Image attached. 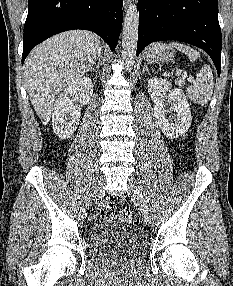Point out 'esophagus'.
Returning a JSON list of instances; mask_svg holds the SVG:
<instances>
[{
    "label": "esophagus",
    "mask_w": 233,
    "mask_h": 286,
    "mask_svg": "<svg viewBox=\"0 0 233 286\" xmlns=\"http://www.w3.org/2000/svg\"><path fill=\"white\" fill-rule=\"evenodd\" d=\"M130 2H131V0H124V3L126 6H128Z\"/></svg>",
    "instance_id": "1"
}]
</instances>
